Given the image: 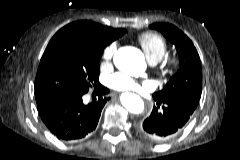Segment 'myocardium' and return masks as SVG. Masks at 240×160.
Listing matches in <instances>:
<instances>
[{
  "instance_id": "obj_1",
  "label": "myocardium",
  "mask_w": 240,
  "mask_h": 160,
  "mask_svg": "<svg viewBox=\"0 0 240 160\" xmlns=\"http://www.w3.org/2000/svg\"><path fill=\"white\" fill-rule=\"evenodd\" d=\"M178 65H179L178 59L175 57L171 58L167 63V68H166L165 73L173 74L176 71Z\"/></svg>"
}]
</instances>
